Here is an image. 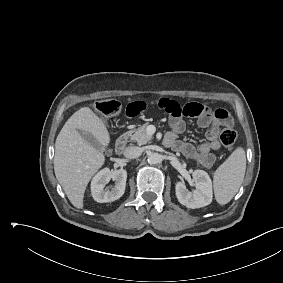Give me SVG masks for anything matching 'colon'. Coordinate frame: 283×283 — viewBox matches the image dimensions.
Instances as JSON below:
<instances>
[{
    "instance_id": "obj_1",
    "label": "colon",
    "mask_w": 283,
    "mask_h": 283,
    "mask_svg": "<svg viewBox=\"0 0 283 283\" xmlns=\"http://www.w3.org/2000/svg\"><path fill=\"white\" fill-rule=\"evenodd\" d=\"M121 109V103L114 99L100 100L93 105V110L104 118L118 115ZM219 140L228 150H233L237 140V133L232 128H225L221 130Z\"/></svg>"
}]
</instances>
